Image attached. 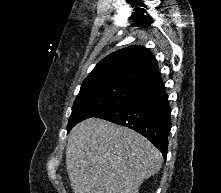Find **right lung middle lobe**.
I'll return each mask as SVG.
<instances>
[{"label":"right lung middle lobe","instance_id":"obj_1","mask_svg":"<svg viewBox=\"0 0 221 193\" xmlns=\"http://www.w3.org/2000/svg\"><path fill=\"white\" fill-rule=\"evenodd\" d=\"M143 86L130 83H113L80 90L68 121L67 131L77 123L96 117L135 97Z\"/></svg>","mask_w":221,"mask_h":193}]
</instances>
